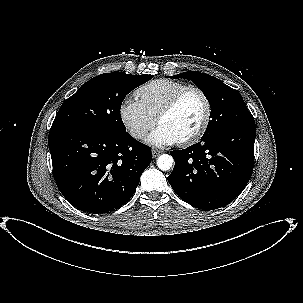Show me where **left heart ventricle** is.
<instances>
[{"label":"left heart ventricle","instance_id":"left-heart-ventricle-1","mask_svg":"<svg viewBox=\"0 0 303 303\" xmlns=\"http://www.w3.org/2000/svg\"><path fill=\"white\" fill-rule=\"evenodd\" d=\"M204 111L205 106L201 96L191 92L182 99L171 114L161 120L160 125L166 127L180 141L198 129Z\"/></svg>","mask_w":303,"mask_h":303}]
</instances>
